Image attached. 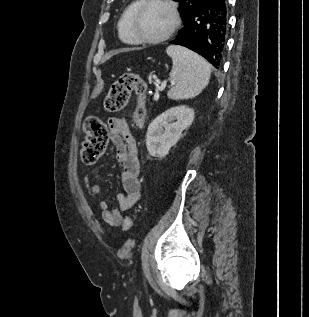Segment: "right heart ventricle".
Wrapping results in <instances>:
<instances>
[{
	"label": "right heart ventricle",
	"mask_w": 309,
	"mask_h": 317,
	"mask_svg": "<svg viewBox=\"0 0 309 317\" xmlns=\"http://www.w3.org/2000/svg\"><path fill=\"white\" fill-rule=\"evenodd\" d=\"M141 3V0L132 1L126 9L123 11L119 21H118V33L120 39L127 44H137L135 36L131 30V17L137 8V6Z\"/></svg>",
	"instance_id": "1"
}]
</instances>
